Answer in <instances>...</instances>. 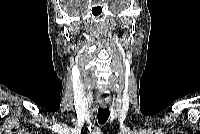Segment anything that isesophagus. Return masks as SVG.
<instances>
[{"label": "esophagus", "mask_w": 200, "mask_h": 134, "mask_svg": "<svg viewBox=\"0 0 200 134\" xmlns=\"http://www.w3.org/2000/svg\"><path fill=\"white\" fill-rule=\"evenodd\" d=\"M101 105H102V107H106L107 103L106 102H102Z\"/></svg>", "instance_id": "34e87169"}]
</instances>
